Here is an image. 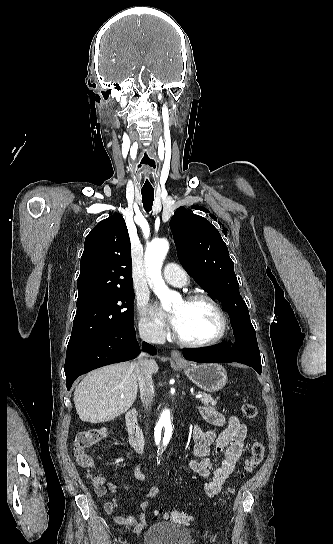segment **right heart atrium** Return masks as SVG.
Returning a JSON list of instances; mask_svg holds the SVG:
<instances>
[{"instance_id":"d8ad5b80","label":"right heart atrium","mask_w":333,"mask_h":544,"mask_svg":"<svg viewBox=\"0 0 333 544\" xmlns=\"http://www.w3.org/2000/svg\"><path fill=\"white\" fill-rule=\"evenodd\" d=\"M138 316H139V332L141 336L149 341H160L165 336V329L163 325L152 318L149 314L146 299H139L137 303Z\"/></svg>"}]
</instances>
